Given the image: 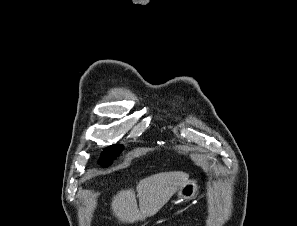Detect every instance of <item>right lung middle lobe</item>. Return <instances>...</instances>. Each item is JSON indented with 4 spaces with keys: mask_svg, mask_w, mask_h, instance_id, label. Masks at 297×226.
<instances>
[{
    "mask_svg": "<svg viewBox=\"0 0 297 226\" xmlns=\"http://www.w3.org/2000/svg\"><path fill=\"white\" fill-rule=\"evenodd\" d=\"M121 151L122 146L119 145H112L106 148L102 152L101 158L99 159V163H101L102 166H108L109 164H111L112 160L120 154Z\"/></svg>",
    "mask_w": 297,
    "mask_h": 226,
    "instance_id": "obj_1",
    "label": "right lung middle lobe"
}]
</instances>
